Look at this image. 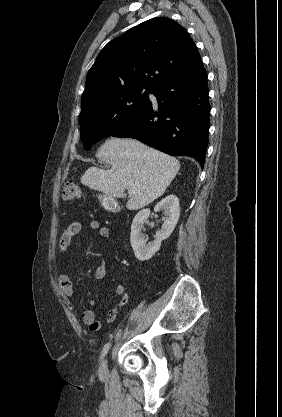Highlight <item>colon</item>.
Masks as SVG:
<instances>
[{
	"instance_id": "colon-1",
	"label": "colon",
	"mask_w": 282,
	"mask_h": 417,
	"mask_svg": "<svg viewBox=\"0 0 282 417\" xmlns=\"http://www.w3.org/2000/svg\"><path fill=\"white\" fill-rule=\"evenodd\" d=\"M80 192L79 184L69 181L63 185L61 195L64 200H74L79 196Z\"/></svg>"
}]
</instances>
